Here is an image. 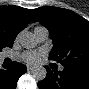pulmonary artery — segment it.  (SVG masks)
Listing matches in <instances>:
<instances>
[{
	"instance_id": "e3ab8cb5",
	"label": "pulmonary artery",
	"mask_w": 89,
	"mask_h": 89,
	"mask_svg": "<svg viewBox=\"0 0 89 89\" xmlns=\"http://www.w3.org/2000/svg\"><path fill=\"white\" fill-rule=\"evenodd\" d=\"M34 35L38 42H44L47 40L49 32L44 27H37L34 30Z\"/></svg>"
}]
</instances>
